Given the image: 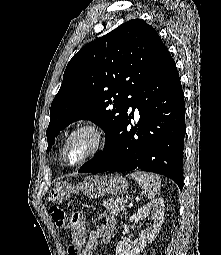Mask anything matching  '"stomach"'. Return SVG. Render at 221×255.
Listing matches in <instances>:
<instances>
[{
  "label": "stomach",
  "instance_id": "1",
  "mask_svg": "<svg viewBox=\"0 0 221 255\" xmlns=\"http://www.w3.org/2000/svg\"><path fill=\"white\" fill-rule=\"evenodd\" d=\"M127 189V181L119 174L90 175L76 186H72L66 181L54 184L49 191V200L54 203H62L77 191H81L89 199H96L104 195L123 194Z\"/></svg>",
  "mask_w": 221,
  "mask_h": 255
}]
</instances>
